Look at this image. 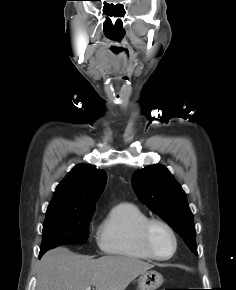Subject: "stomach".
<instances>
[{
	"label": "stomach",
	"mask_w": 236,
	"mask_h": 290,
	"mask_svg": "<svg viewBox=\"0 0 236 290\" xmlns=\"http://www.w3.org/2000/svg\"><path fill=\"white\" fill-rule=\"evenodd\" d=\"M163 281V276L159 272L155 270L146 271L138 278V289L156 290L162 285Z\"/></svg>",
	"instance_id": "0dacf381"
}]
</instances>
